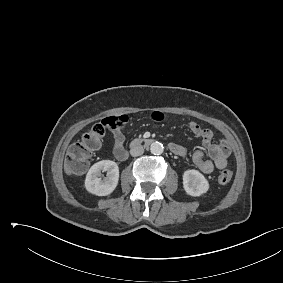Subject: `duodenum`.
I'll list each match as a JSON object with an SVG mask.
<instances>
[{
    "label": "duodenum",
    "instance_id": "1",
    "mask_svg": "<svg viewBox=\"0 0 283 283\" xmlns=\"http://www.w3.org/2000/svg\"><path fill=\"white\" fill-rule=\"evenodd\" d=\"M153 143L152 139L148 138H141V139H135L131 143L132 148H138V147H148ZM127 158V152L124 154L123 159L125 160Z\"/></svg>",
    "mask_w": 283,
    "mask_h": 283
}]
</instances>
